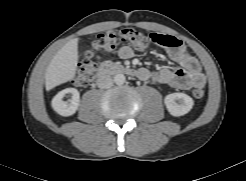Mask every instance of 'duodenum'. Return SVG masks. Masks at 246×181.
<instances>
[{"instance_id":"410a0bca","label":"duodenum","mask_w":246,"mask_h":181,"mask_svg":"<svg viewBox=\"0 0 246 181\" xmlns=\"http://www.w3.org/2000/svg\"><path fill=\"white\" fill-rule=\"evenodd\" d=\"M110 74H126L130 76H139V71L135 70L131 67L122 66L119 64H113V63H104L100 66V68L97 71L96 77L98 79H102L107 75Z\"/></svg>"}]
</instances>
